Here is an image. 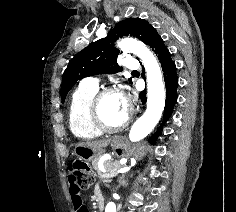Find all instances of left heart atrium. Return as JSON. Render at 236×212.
<instances>
[{
	"label": "left heart atrium",
	"mask_w": 236,
	"mask_h": 212,
	"mask_svg": "<svg viewBox=\"0 0 236 212\" xmlns=\"http://www.w3.org/2000/svg\"><path fill=\"white\" fill-rule=\"evenodd\" d=\"M120 100H121V105L122 108L125 112H128L129 107H130V99L127 95L125 94H120Z\"/></svg>",
	"instance_id": "39dd6f15"
}]
</instances>
